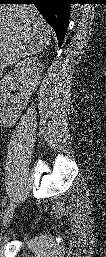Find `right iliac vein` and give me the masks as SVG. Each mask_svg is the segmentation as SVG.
<instances>
[{
    "mask_svg": "<svg viewBox=\"0 0 106 257\" xmlns=\"http://www.w3.org/2000/svg\"><path fill=\"white\" fill-rule=\"evenodd\" d=\"M15 207H16V205L12 203L5 210V213H4V216H3V226H7L9 224L10 220L13 217Z\"/></svg>",
    "mask_w": 106,
    "mask_h": 257,
    "instance_id": "63e3f726",
    "label": "right iliac vein"
}]
</instances>
